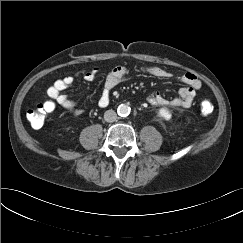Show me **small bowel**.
Instances as JSON below:
<instances>
[{"instance_id": "c3829d8e", "label": "small bowel", "mask_w": 243, "mask_h": 243, "mask_svg": "<svg viewBox=\"0 0 243 243\" xmlns=\"http://www.w3.org/2000/svg\"><path fill=\"white\" fill-rule=\"evenodd\" d=\"M138 71L146 72L158 78H170L172 74L157 66L135 68ZM100 69L94 68L92 70H82L80 74L83 79L88 82L95 80L99 74ZM129 68L126 66L114 67L106 76L104 81V88L101 96L98 99V106L106 107L110 102L112 90L127 76ZM74 76H66L57 79L48 89V97L64 108L72 115H81L84 110L79 107V104L71 99L69 96L63 94V91L68 89L74 83ZM181 81L186 85L179 91L177 97L169 100L162 96L159 92H152L148 95L147 100L153 106H170L174 108H188L192 105L198 90L201 88V82L196 75L192 73H185L181 76Z\"/></svg>"}]
</instances>
